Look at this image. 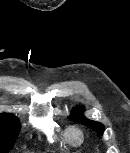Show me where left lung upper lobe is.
Returning <instances> with one entry per match:
<instances>
[{"label": "left lung upper lobe", "instance_id": "5c2ea615", "mask_svg": "<svg viewBox=\"0 0 130 153\" xmlns=\"http://www.w3.org/2000/svg\"><path fill=\"white\" fill-rule=\"evenodd\" d=\"M83 108H77L75 109L72 114L69 116V119L72 121H75L77 123L83 124L85 126H88L89 128L93 129L96 131L98 134H103L104 132V126L103 124L87 119L83 115Z\"/></svg>", "mask_w": 130, "mask_h": 153}]
</instances>
